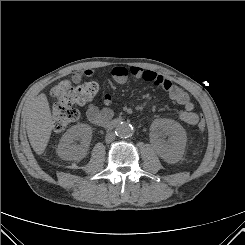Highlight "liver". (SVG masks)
I'll return each instance as SVG.
<instances>
[{"label":"liver","instance_id":"liver-1","mask_svg":"<svg viewBox=\"0 0 245 245\" xmlns=\"http://www.w3.org/2000/svg\"><path fill=\"white\" fill-rule=\"evenodd\" d=\"M26 129L33 150L41 155L47 147L53 129L49 102L44 93L38 95L26 111Z\"/></svg>","mask_w":245,"mask_h":245}]
</instances>
